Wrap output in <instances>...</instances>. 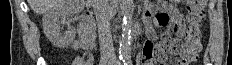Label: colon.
Segmentation results:
<instances>
[{"label": "colon", "instance_id": "obj_1", "mask_svg": "<svg viewBox=\"0 0 232 65\" xmlns=\"http://www.w3.org/2000/svg\"><path fill=\"white\" fill-rule=\"evenodd\" d=\"M177 0H160L158 5L161 9H167ZM206 0H189L187 2V22L183 43L171 41L164 37L157 45L156 59L159 62H176L178 65L193 64L201 50L202 28L201 23L205 15Z\"/></svg>", "mask_w": 232, "mask_h": 65}]
</instances>
